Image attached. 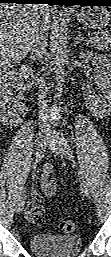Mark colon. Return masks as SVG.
<instances>
[{
	"label": "colon",
	"instance_id": "5ec220e1",
	"mask_svg": "<svg viewBox=\"0 0 111 257\" xmlns=\"http://www.w3.org/2000/svg\"><path fill=\"white\" fill-rule=\"evenodd\" d=\"M60 228L66 233H71L75 230L76 225L75 222L72 220H64L60 223Z\"/></svg>",
	"mask_w": 111,
	"mask_h": 257
}]
</instances>
